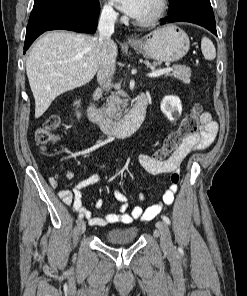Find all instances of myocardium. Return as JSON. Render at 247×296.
Wrapping results in <instances>:
<instances>
[{
    "instance_id": "1",
    "label": "myocardium",
    "mask_w": 247,
    "mask_h": 296,
    "mask_svg": "<svg viewBox=\"0 0 247 296\" xmlns=\"http://www.w3.org/2000/svg\"><path fill=\"white\" fill-rule=\"evenodd\" d=\"M167 10V0H155V10L146 19H136L135 23L141 27H150L157 24L165 15Z\"/></svg>"
}]
</instances>
